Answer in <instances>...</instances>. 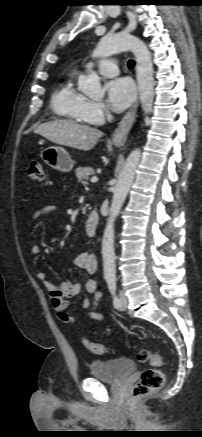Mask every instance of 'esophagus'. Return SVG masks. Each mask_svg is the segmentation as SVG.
Listing matches in <instances>:
<instances>
[{
	"mask_svg": "<svg viewBox=\"0 0 202 437\" xmlns=\"http://www.w3.org/2000/svg\"><path fill=\"white\" fill-rule=\"evenodd\" d=\"M138 106L139 99L137 98L113 132L112 142L115 145H123L126 142L127 136L135 122Z\"/></svg>",
	"mask_w": 202,
	"mask_h": 437,
	"instance_id": "34e87169",
	"label": "esophagus"
}]
</instances>
